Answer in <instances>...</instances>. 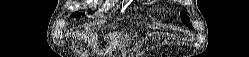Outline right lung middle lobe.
Segmentation results:
<instances>
[{
    "instance_id": "dd1d6c3e",
    "label": "right lung middle lobe",
    "mask_w": 249,
    "mask_h": 57,
    "mask_svg": "<svg viewBox=\"0 0 249 57\" xmlns=\"http://www.w3.org/2000/svg\"><path fill=\"white\" fill-rule=\"evenodd\" d=\"M81 15H83V13H79V12H75L71 15V18L72 17H80Z\"/></svg>"
}]
</instances>
